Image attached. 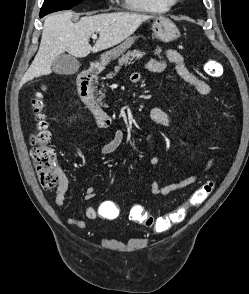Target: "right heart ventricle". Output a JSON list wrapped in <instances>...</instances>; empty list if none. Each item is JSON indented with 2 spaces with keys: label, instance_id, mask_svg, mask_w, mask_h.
Here are the masks:
<instances>
[{
  "label": "right heart ventricle",
  "instance_id": "obj_1",
  "mask_svg": "<svg viewBox=\"0 0 249 294\" xmlns=\"http://www.w3.org/2000/svg\"><path fill=\"white\" fill-rule=\"evenodd\" d=\"M126 6L137 12L163 13L171 9L174 4L172 0H124Z\"/></svg>",
  "mask_w": 249,
  "mask_h": 294
}]
</instances>
